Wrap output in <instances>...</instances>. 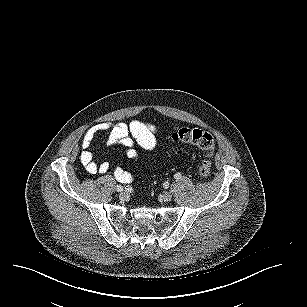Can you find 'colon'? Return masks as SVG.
I'll list each match as a JSON object with an SVG mask.
<instances>
[{
  "instance_id": "1",
  "label": "colon",
  "mask_w": 307,
  "mask_h": 307,
  "mask_svg": "<svg viewBox=\"0 0 307 307\" xmlns=\"http://www.w3.org/2000/svg\"><path fill=\"white\" fill-rule=\"evenodd\" d=\"M172 140L177 143L193 145L205 152L199 174L203 179L210 177L211 158L215 151V141L213 136L201 129L180 128L172 134Z\"/></svg>"
}]
</instances>
